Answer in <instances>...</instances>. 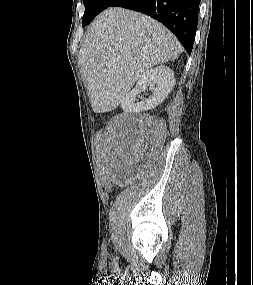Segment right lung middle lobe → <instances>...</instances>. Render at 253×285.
<instances>
[{"instance_id":"1","label":"right lung middle lobe","mask_w":253,"mask_h":285,"mask_svg":"<svg viewBox=\"0 0 253 285\" xmlns=\"http://www.w3.org/2000/svg\"><path fill=\"white\" fill-rule=\"evenodd\" d=\"M85 12L82 18V26L88 25L97 14L108 8L115 0H83Z\"/></svg>"}]
</instances>
